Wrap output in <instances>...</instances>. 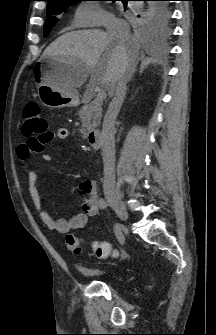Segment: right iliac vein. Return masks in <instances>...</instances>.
Segmentation results:
<instances>
[{"instance_id": "63e3f726", "label": "right iliac vein", "mask_w": 216, "mask_h": 335, "mask_svg": "<svg viewBox=\"0 0 216 335\" xmlns=\"http://www.w3.org/2000/svg\"><path fill=\"white\" fill-rule=\"evenodd\" d=\"M106 199L108 203L110 204V206L113 208V210L116 212L118 217L121 220L126 221L128 219V212L126 210L125 205L119 199V197H117L114 193L107 192Z\"/></svg>"}]
</instances>
